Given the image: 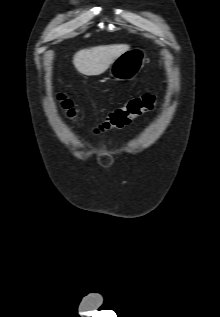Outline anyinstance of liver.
Returning a JSON list of instances; mask_svg holds the SVG:
<instances>
[{"mask_svg":"<svg viewBox=\"0 0 220 317\" xmlns=\"http://www.w3.org/2000/svg\"><path fill=\"white\" fill-rule=\"evenodd\" d=\"M129 48L126 44H114L82 49L74 55L73 64L83 75H100Z\"/></svg>","mask_w":220,"mask_h":317,"instance_id":"6515ba94","label":"liver"}]
</instances>
